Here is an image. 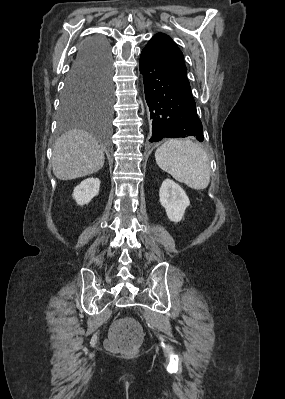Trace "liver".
<instances>
[{"instance_id": "liver-1", "label": "liver", "mask_w": 285, "mask_h": 399, "mask_svg": "<svg viewBox=\"0 0 285 399\" xmlns=\"http://www.w3.org/2000/svg\"><path fill=\"white\" fill-rule=\"evenodd\" d=\"M104 161V148L83 130L63 134L53 147V173L60 180L96 173L103 167Z\"/></svg>"}]
</instances>
